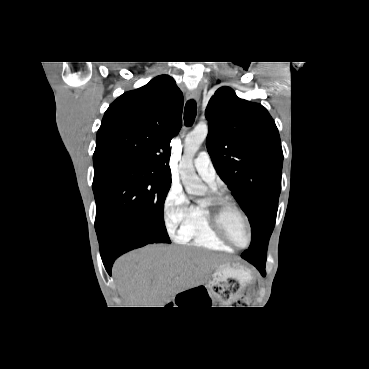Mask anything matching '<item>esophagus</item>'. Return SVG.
<instances>
[{"label": "esophagus", "instance_id": "34e87169", "mask_svg": "<svg viewBox=\"0 0 369 369\" xmlns=\"http://www.w3.org/2000/svg\"><path fill=\"white\" fill-rule=\"evenodd\" d=\"M187 98L188 99H194V100L198 101L200 99V91L198 89H194L192 91H189L187 93Z\"/></svg>", "mask_w": 369, "mask_h": 369}]
</instances>
